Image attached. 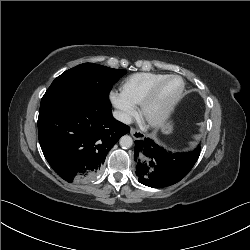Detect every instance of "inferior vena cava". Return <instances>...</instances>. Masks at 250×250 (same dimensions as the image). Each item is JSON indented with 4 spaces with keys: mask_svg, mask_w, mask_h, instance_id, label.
Segmentation results:
<instances>
[{
    "mask_svg": "<svg viewBox=\"0 0 250 250\" xmlns=\"http://www.w3.org/2000/svg\"><path fill=\"white\" fill-rule=\"evenodd\" d=\"M113 116L115 119H117L118 121H121L125 124L131 123V117L127 113H124L122 111H117V110L114 111Z\"/></svg>",
    "mask_w": 250,
    "mask_h": 250,
    "instance_id": "obj_1",
    "label": "inferior vena cava"
}]
</instances>
